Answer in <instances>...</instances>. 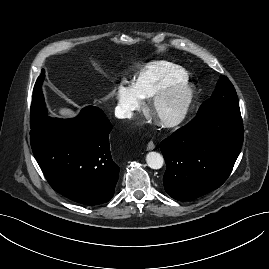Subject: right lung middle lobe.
<instances>
[{"mask_svg":"<svg viewBox=\"0 0 269 269\" xmlns=\"http://www.w3.org/2000/svg\"><path fill=\"white\" fill-rule=\"evenodd\" d=\"M44 79V73L40 75L33 90V99L30 111V126L31 130L38 128L48 117L47 109L45 107L44 97L41 86Z\"/></svg>","mask_w":269,"mask_h":269,"instance_id":"1","label":"right lung middle lobe"}]
</instances>
